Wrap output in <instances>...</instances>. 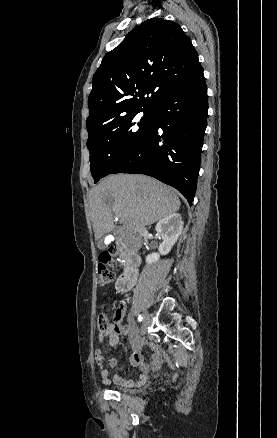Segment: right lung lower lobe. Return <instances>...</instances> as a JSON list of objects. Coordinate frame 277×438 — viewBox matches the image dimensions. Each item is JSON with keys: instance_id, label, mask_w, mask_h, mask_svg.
I'll list each match as a JSON object with an SVG mask.
<instances>
[{"instance_id": "98d812e1", "label": "right lung lower lobe", "mask_w": 277, "mask_h": 438, "mask_svg": "<svg viewBox=\"0 0 277 438\" xmlns=\"http://www.w3.org/2000/svg\"><path fill=\"white\" fill-rule=\"evenodd\" d=\"M170 72L178 67L170 64ZM203 72L166 91L152 107L150 129L114 173H142L179 190L192 204L207 125Z\"/></svg>"}]
</instances>
